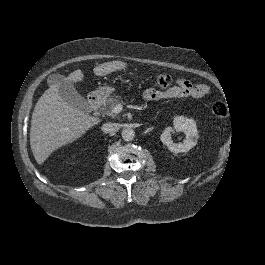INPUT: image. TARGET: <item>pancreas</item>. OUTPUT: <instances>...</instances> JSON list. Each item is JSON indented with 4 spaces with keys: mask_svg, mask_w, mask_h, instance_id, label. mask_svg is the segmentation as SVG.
<instances>
[{
    "mask_svg": "<svg viewBox=\"0 0 265 265\" xmlns=\"http://www.w3.org/2000/svg\"><path fill=\"white\" fill-rule=\"evenodd\" d=\"M121 102V96L113 94L110 96L101 110L103 111V114L111 117H115L116 114L113 112L114 107Z\"/></svg>",
    "mask_w": 265,
    "mask_h": 265,
    "instance_id": "pancreas-1",
    "label": "pancreas"
}]
</instances>
